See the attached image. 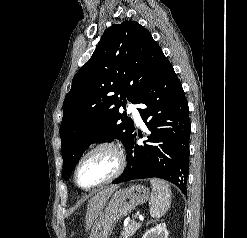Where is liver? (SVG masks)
Here are the masks:
<instances>
[{
    "label": "liver",
    "mask_w": 247,
    "mask_h": 238,
    "mask_svg": "<svg viewBox=\"0 0 247 238\" xmlns=\"http://www.w3.org/2000/svg\"><path fill=\"white\" fill-rule=\"evenodd\" d=\"M117 188V185H111L110 187L99 191L89 200L86 213L87 229L91 227L94 220L100 215L107 200Z\"/></svg>",
    "instance_id": "6515ba94"
}]
</instances>
